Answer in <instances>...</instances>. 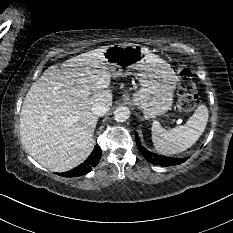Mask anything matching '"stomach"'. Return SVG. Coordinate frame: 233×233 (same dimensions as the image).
I'll list each match as a JSON object with an SVG mask.
<instances>
[{
	"label": "stomach",
	"mask_w": 233,
	"mask_h": 233,
	"mask_svg": "<svg viewBox=\"0 0 233 233\" xmlns=\"http://www.w3.org/2000/svg\"><path fill=\"white\" fill-rule=\"evenodd\" d=\"M104 58L114 77L137 73L141 88L132 101L146 119H154L170 109L177 76L167 62L147 47L133 43L107 46Z\"/></svg>",
	"instance_id": "stomach-1"
}]
</instances>
